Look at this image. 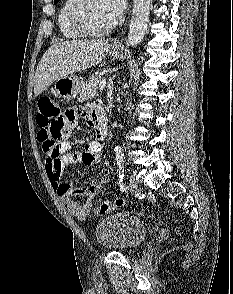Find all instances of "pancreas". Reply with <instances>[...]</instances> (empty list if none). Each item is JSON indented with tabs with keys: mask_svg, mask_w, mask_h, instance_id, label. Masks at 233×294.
Returning <instances> with one entry per match:
<instances>
[{
	"mask_svg": "<svg viewBox=\"0 0 233 294\" xmlns=\"http://www.w3.org/2000/svg\"><path fill=\"white\" fill-rule=\"evenodd\" d=\"M100 81L99 75H92L81 88V92L79 95L80 101L91 100L98 96V83Z\"/></svg>",
	"mask_w": 233,
	"mask_h": 294,
	"instance_id": "cf45deb5",
	"label": "pancreas"
}]
</instances>
